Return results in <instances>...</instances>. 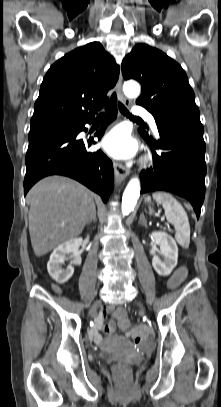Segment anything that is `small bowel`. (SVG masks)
Masks as SVG:
<instances>
[{
	"label": "small bowel",
	"instance_id": "c3829d8e",
	"mask_svg": "<svg viewBox=\"0 0 221 407\" xmlns=\"http://www.w3.org/2000/svg\"><path fill=\"white\" fill-rule=\"evenodd\" d=\"M112 311H113L112 307H106L100 312V314L96 320V326L90 332V338L95 343H100L102 340L99 330H104L107 333H113L116 330L117 325L114 320H109L108 323H105V320L112 313ZM117 312H118V309L115 310L113 313L115 319L117 316Z\"/></svg>",
	"mask_w": 221,
	"mask_h": 407
}]
</instances>
